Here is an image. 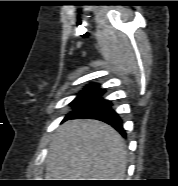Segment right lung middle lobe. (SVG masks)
I'll return each instance as SVG.
<instances>
[{
  "mask_svg": "<svg viewBox=\"0 0 178 186\" xmlns=\"http://www.w3.org/2000/svg\"><path fill=\"white\" fill-rule=\"evenodd\" d=\"M105 93V89H102L98 86H89L82 92L78 94V96L73 100L71 105L74 107L73 111L68 115H71L87 104L93 102L94 100L98 99ZM67 115V116H68Z\"/></svg>",
  "mask_w": 178,
  "mask_h": 186,
  "instance_id": "right-lung-middle-lobe-1",
  "label": "right lung middle lobe"
}]
</instances>
